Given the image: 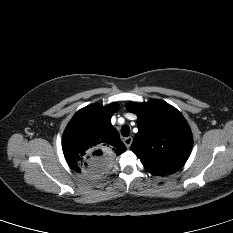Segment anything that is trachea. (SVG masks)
<instances>
[{
	"label": "trachea",
	"instance_id": "1",
	"mask_svg": "<svg viewBox=\"0 0 233 233\" xmlns=\"http://www.w3.org/2000/svg\"><path fill=\"white\" fill-rule=\"evenodd\" d=\"M121 134H122V136H124V137L129 136V134H130V127H129L128 125H123V126L121 127Z\"/></svg>",
	"mask_w": 233,
	"mask_h": 233
}]
</instances>
